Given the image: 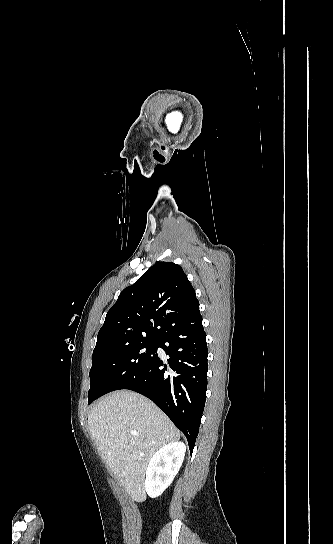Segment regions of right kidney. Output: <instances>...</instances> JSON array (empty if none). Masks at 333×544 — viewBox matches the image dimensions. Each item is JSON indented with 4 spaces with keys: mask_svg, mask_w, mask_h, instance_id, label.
Here are the masks:
<instances>
[{
    "mask_svg": "<svg viewBox=\"0 0 333 544\" xmlns=\"http://www.w3.org/2000/svg\"><path fill=\"white\" fill-rule=\"evenodd\" d=\"M186 446L173 442L161 447L150 459L146 470L145 490L149 497H159L178 473L185 456Z\"/></svg>",
    "mask_w": 333,
    "mask_h": 544,
    "instance_id": "ca27d5eb",
    "label": "right kidney"
}]
</instances>
